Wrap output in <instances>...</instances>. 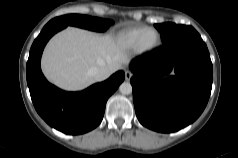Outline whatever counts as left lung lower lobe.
<instances>
[{
	"mask_svg": "<svg viewBox=\"0 0 238 158\" xmlns=\"http://www.w3.org/2000/svg\"><path fill=\"white\" fill-rule=\"evenodd\" d=\"M130 69L136 115L149 129L178 131L194 122L207 105L213 67L207 46L195 30L136 57ZM173 69L175 76L159 78Z\"/></svg>",
	"mask_w": 238,
	"mask_h": 158,
	"instance_id": "left-lung-lower-lobe-1",
	"label": "left lung lower lobe"
}]
</instances>
